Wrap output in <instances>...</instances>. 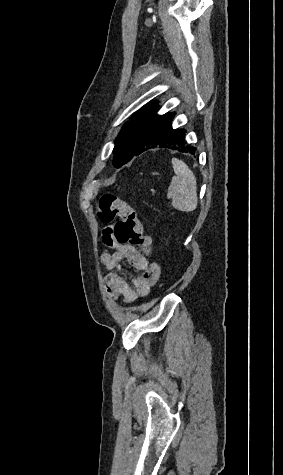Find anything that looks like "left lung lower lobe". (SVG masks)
<instances>
[{"label":"left lung lower lobe","instance_id":"obj_1","mask_svg":"<svg viewBox=\"0 0 283 475\" xmlns=\"http://www.w3.org/2000/svg\"><path fill=\"white\" fill-rule=\"evenodd\" d=\"M174 115L175 113L158 115L155 107L145 121L140 134L122 135L113 150L114 166L121 167L134 156L154 148H168L195 155L196 148L185 141L186 131L172 128L171 122Z\"/></svg>","mask_w":283,"mask_h":475}]
</instances>
